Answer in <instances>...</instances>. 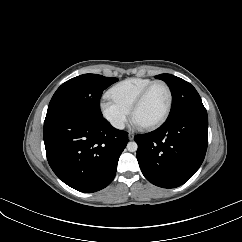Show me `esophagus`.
<instances>
[{"mask_svg": "<svg viewBox=\"0 0 242 242\" xmlns=\"http://www.w3.org/2000/svg\"><path fill=\"white\" fill-rule=\"evenodd\" d=\"M128 138H129V140H133L134 139V135L132 133H129Z\"/></svg>", "mask_w": 242, "mask_h": 242, "instance_id": "1", "label": "esophagus"}]
</instances>
